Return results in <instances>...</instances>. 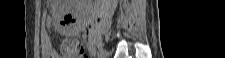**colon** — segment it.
I'll list each match as a JSON object with an SVG mask.
<instances>
[{"label":"colon","mask_w":225,"mask_h":58,"mask_svg":"<svg viewBox=\"0 0 225 58\" xmlns=\"http://www.w3.org/2000/svg\"><path fill=\"white\" fill-rule=\"evenodd\" d=\"M67 53L68 57L70 58H85L83 47L77 43L74 46L70 47Z\"/></svg>","instance_id":"1"}]
</instances>
